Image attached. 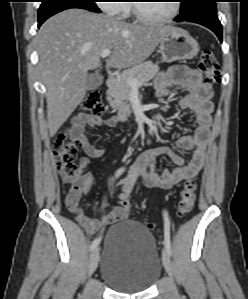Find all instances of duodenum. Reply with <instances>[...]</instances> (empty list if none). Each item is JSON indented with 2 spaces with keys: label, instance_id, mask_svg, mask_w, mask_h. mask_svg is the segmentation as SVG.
I'll list each match as a JSON object with an SVG mask.
<instances>
[{
  "label": "duodenum",
  "instance_id": "duodenum-1",
  "mask_svg": "<svg viewBox=\"0 0 248 299\" xmlns=\"http://www.w3.org/2000/svg\"><path fill=\"white\" fill-rule=\"evenodd\" d=\"M116 84H117V80L115 77L110 76L107 78L106 86H107L108 90H113L115 88ZM124 119H126L125 114H119L118 116H116V120H124Z\"/></svg>",
  "mask_w": 248,
  "mask_h": 299
}]
</instances>
